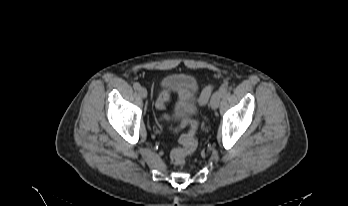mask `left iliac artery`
Masks as SVG:
<instances>
[{
  "instance_id": "obj_1",
  "label": "left iliac artery",
  "mask_w": 348,
  "mask_h": 206,
  "mask_svg": "<svg viewBox=\"0 0 348 206\" xmlns=\"http://www.w3.org/2000/svg\"><path fill=\"white\" fill-rule=\"evenodd\" d=\"M226 93H227V87L226 86H222L220 88L221 97H223Z\"/></svg>"
}]
</instances>
